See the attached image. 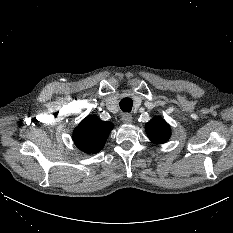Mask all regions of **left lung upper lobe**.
<instances>
[{"mask_svg":"<svg viewBox=\"0 0 233 233\" xmlns=\"http://www.w3.org/2000/svg\"><path fill=\"white\" fill-rule=\"evenodd\" d=\"M146 132L153 143L161 144L171 136L170 126L161 118L155 117L146 124Z\"/></svg>","mask_w":233,"mask_h":233,"instance_id":"obj_1","label":"left lung upper lobe"}]
</instances>
